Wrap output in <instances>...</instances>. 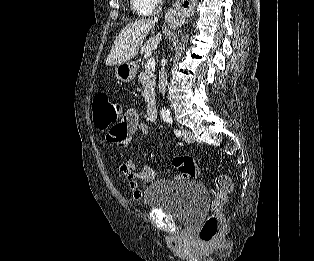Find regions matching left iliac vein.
Segmentation results:
<instances>
[{"label":"left iliac vein","instance_id":"4c4485c4","mask_svg":"<svg viewBox=\"0 0 314 261\" xmlns=\"http://www.w3.org/2000/svg\"><path fill=\"white\" fill-rule=\"evenodd\" d=\"M183 139L187 143H193L194 142V138H193L192 132L187 130V129L183 130Z\"/></svg>","mask_w":314,"mask_h":261}]
</instances>
